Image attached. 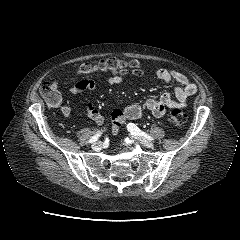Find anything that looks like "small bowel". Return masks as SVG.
<instances>
[{
    "label": "small bowel",
    "mask_w": 240,
    "mask_h": 240,
    "mask_svg": "<svg viewBox=\"0 0 240 240\" xmlns=\"http://www.w3.org/2000/svg\"><path fill=\"white\" fill-rule=\"evenodd\" d=\"M156 77L165 82H175L174 92L163 93L158 98L147 99L142 104H130L123 109H115L111 114L112 118V133L116 135L121 126L126 120H134L140 118L144 111H150L155 117H162L167 109H176L185 107L190 96L196 92V86L194 83L188 80V78L182 73L171 69H158L156 71ZM123 82V77L119 75H112L108 78V83L112 86L120 85ZM51 85L56 90L60 104L62 103L65 94L58 92V81L51 82ZM96 84L91 79H82L78 81L73 87H71L67 94L76 95L84 91H94ZM61 113L64 117L68 118L72 114V109L68 104L61 105ZM79 114L86 115L93 120L98 126H102L105 123L104 116L100 111L92 104L87 103L85 107L79 112Z\"/></svg>",
    "instance_id": "1"
}]
</instances>
